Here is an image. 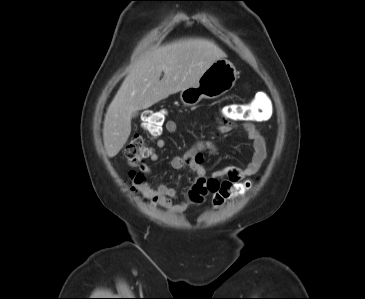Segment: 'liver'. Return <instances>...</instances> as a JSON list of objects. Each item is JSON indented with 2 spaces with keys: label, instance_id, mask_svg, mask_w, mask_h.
I'll return each mask as SVG.
<instances>
[{
  "label": "liver",
  "instance_id": "6515ba94",
  "mask_svg": "<svg viewBox=\"0 0 365 299\" xmlns=\"http://www.w3.org/2000/svg\"><path fill=\"white\" fill-rule=\"evenodd\" d=\"M224 57L218 45L201 38L153 48L131 68L107 109L103 141L108 156H116L128 140L134 112L195 85L212 63Z\"/></svg>",
  "mask_w": 365,
  "mask_h": 299
}]
</instances>
